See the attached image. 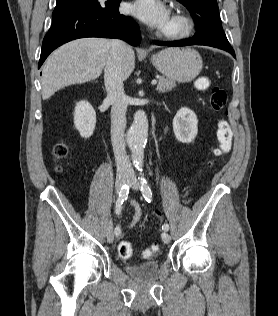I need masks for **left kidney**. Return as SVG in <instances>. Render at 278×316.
Returning a JSON list of instances; mask_svg holds the SVG:
<instances>
[{"label":"left kidney","instance_id":"5707ae66","mask_svg":"<svg viewBox=\"0 0 278 316\" xmlns=\"http://www.w3.org/2000/svg\"><path fill=\"white\" fill-rule=\"evenodd\" d=\"M173 131L178 141L192 142L198 132V119L195 113L186 108H181L173 119Z\"/></svg>","mask_w":278,"mask_h":316}]
</instances>
